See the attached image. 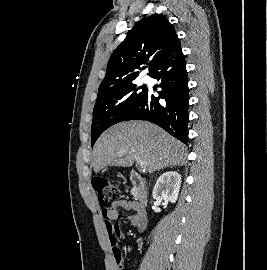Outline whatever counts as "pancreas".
Listing matches in <instances>:
<instances>
[{
    "mask_svg": "<svg viewBox=\"0 0 267 270\" xmlns=\"http://www.w3.org/2000/svg\"><path fill=\"white\" fill-rule=\"evenodd\" d=\"M131 194L134 196V198H138V195H137L135 189H132V190H131Z\"/></svg>",
    "mask_w": 267,
    "mask_h": 270,
    "instance_id": "obj_1",
    "label": "pancreas"
}]
</instances>
